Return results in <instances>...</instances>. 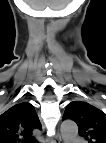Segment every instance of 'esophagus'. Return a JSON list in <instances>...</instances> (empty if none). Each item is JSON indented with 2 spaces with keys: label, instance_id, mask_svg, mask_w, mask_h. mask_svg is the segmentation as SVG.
<instances>
[{
  "label": "esophagus",
  "instance_id": "34e87169",
  "mask_svg": "<svg viewBox=\"0 0 106 143\" xmlns=\"http://www.w3.org/2000/svg\"><path fill=\"white\" fill-rule=\"evenodd\" d=\"M49 140L53 143H61L62 142L60 134H57V135L51 137Z\"/></svg>",
  "mask_w": 106,
  "mask_h": 143
}]
</instances>
